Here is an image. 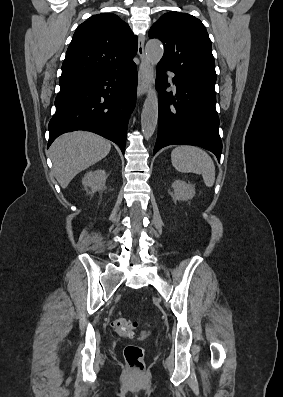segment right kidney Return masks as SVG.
<instances>
[{
	"label": "right kidney",
	"instance_id": "obj_1",
	"mask_svg": "<svg viewBox=\"0 0 283 397\" xmlns=\"http://www.w3.org/2000/svg\"><path fill=\"white\" fill-rule=\"evenodd\" d=\"M106 179L107 174L105 170L97 169L95 171L87 172L82 179V184L86 190L90 188V193L92 194L106 188Z\"/></svg>",
	"mask_w": 283,
	"mask_h": 397
}]
</instances>
